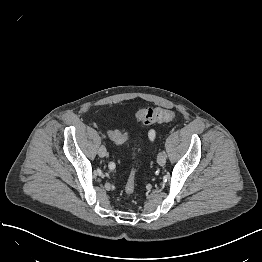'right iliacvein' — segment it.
Wrapping results in <instances>:
<instances>
[{
	"label": "right iliac vein",
	"instance_id": "63e3f726",
	"mask_svg": "<svg viewBox=\"0 0 262 262\" xmlns=\"http://www.w3.org/2000/svg\"><path fill=\"white\" fill-rule=\"evenodd\" d=\"M98 154L100 157H105L107 154V150L104 145H101L98 149Z\"/></svg>",
	"mask_w": 262,
	"mask_h": 262
}]
</instances>
